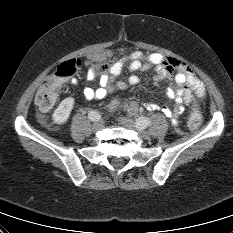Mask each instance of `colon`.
I'll return each mask as SVG.
<instances>
[{
    "label": "colon",
    "instance_id": "1",
    "mask_svg": "<svg viewBox=\"0 0 233 233\" xmlns=\"http://www.w3.org/2000/svg\"><path fill=\"white\" fill-rule=\"evenodd\" d=\"M80 67V61L72 59L60 64L55 73L51 75L38 89L35 96V104L40 111H49L55 104L57 93L61 83L73 76ZM109 64L102 66V70L107 72ZM201 124V115L197 108H193L190 118L188 120V127L190 130L197 129Z\"/></svg>",
    "mask_w": 233,
    "mask_h": 233
}]
</instances>
